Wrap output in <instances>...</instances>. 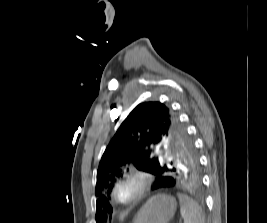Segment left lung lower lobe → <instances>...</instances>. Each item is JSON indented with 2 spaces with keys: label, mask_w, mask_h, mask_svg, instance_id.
<instances>
[{
  "label": "left lung lower lobe",
  "mask_w": 267,
  "mask_h": 223,
  "mask_svg": "<svg viewBox=\"0 0 267 223\" xmlns=\"http://www.w3.org/2000/svg\"><path fill=\"white\" fill-rule=\"evenodd\" d=\"M201 171H168L156 173L158 178L152 186V192H166L167 194H183V189H199Z\"/></svg>",
  "instance_id": "0a47b994"
}]
</instances>
